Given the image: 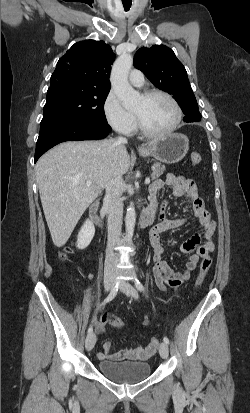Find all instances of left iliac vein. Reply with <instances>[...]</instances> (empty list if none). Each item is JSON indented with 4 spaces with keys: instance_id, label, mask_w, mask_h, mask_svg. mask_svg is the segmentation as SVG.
<instances>
[{
    "instance_id": "left-iliac-vein-1",
    "label": "left iliac vein",
    "mask_w": 250,
    "mask_h": 413,
    "mask_svg": "<svg viewBox=\"0 0 250 413\" xmlns=\"http://www.w3.org/2000/svg\"><path fill=\"white\" fill-rule=\"evenodd\" d=\"M120 291L125 293L127 296H131L134 298L138 297V293L136 289L126 280L120 281ZM160 356L164 359L168 357L169 349L168 345L165 342H162L159 347Z\"/></svg>"
}]
</instances>
